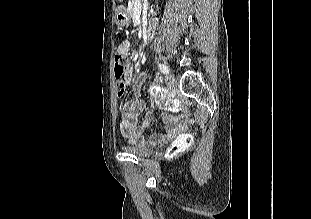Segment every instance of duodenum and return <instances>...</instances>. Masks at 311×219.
Masks as SVG:
<instances>
[{"instance_id":"410a0bca","label":"duodenum","mask_w":311,"mask_h":219,"mask_svg":"<svg viewBox=\"0 0 311 219\" xmlns=\"http://www.w3.org/2000/svg\"><path fill=\"white\" fill-rule=\"evenodd\" d=\"M155 29H156V25L154 22H149L148 24V37L150 38L153 33L155 32Z\"/></svg>"}]
</instances>
